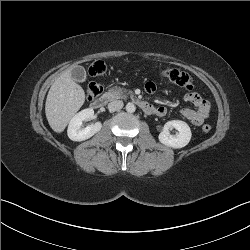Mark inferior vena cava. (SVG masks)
<instances>
[{
  "label": "inferior vena cava",
  "mask_w": 250,
  "mask_h": 250,
  "mask_svg": "<svg viewBox=\"0 0 250 250\" xmlns=\"http://www.w3.org/2000/svg\"><path fill=\"white\" fill-rule=\"evenodd\" d=\"M123 107V102L120 100L112 101L108 104V110L110 112L119 111Z\"/></svg>",
  "instance_id": "inferior-vena-cava-1"
}]
</instances>
